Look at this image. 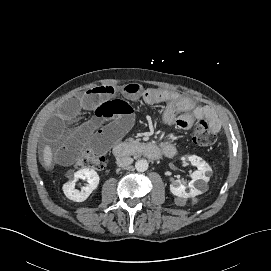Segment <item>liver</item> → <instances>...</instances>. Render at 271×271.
Instances as JSON below:
<instances>
[{
	"mask_svg": "<svg viewBox=\"0 0 271 271\" xmlns=\"http://www.w3.org/2000/svg\"><path fill=\"white\" fill-rule=\"evenodd\" d=\"M43 160L45 168L49 169L52 166L53 162V153L49 145H45L43 150Z\"/></svg>",
	"mask_w": 271,
	"mask_h": 271,
	"instance_id": "1",
	"label": "liver"
}]
</instances>
